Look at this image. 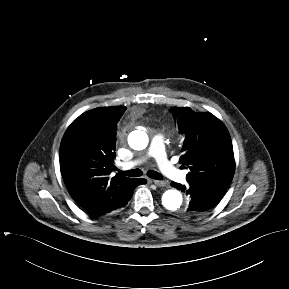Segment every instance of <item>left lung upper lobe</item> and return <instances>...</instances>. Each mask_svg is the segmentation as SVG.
Instances as JSON below:
<instances>
[{
	"instance_id": "left-lung-upper-lobe-1",
	"label": "left lung upper lobe",
	"mask_w": 289,
	"mask_h": 289,
	"mask_svg": "<svg viewBox=\"0 0 289 289\" xmlns=\"http://www.w3.org/2000/svg\"><path fill=\"white\" fill-rule=\"evenodd\" d=\"M180 133L185 135L180 157L189 167L187 182L225 192L235 171L233 147L225 125L211 113L188 107L172 108Z\"/></svg>"
}]
</instances>
